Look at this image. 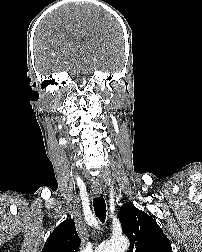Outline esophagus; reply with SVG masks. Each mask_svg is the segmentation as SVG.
I'll list each match as a JSON object with an SVG mask.
<instances>
[{
    "instance_id": "34e87169",
    "label": "esophagus",
    "mask_w": 202,
    "mask_h": 252,
    "mask_svg": "<svg viewBox=\"0 0 202 252\" xmlns=\"http://www.w3.org/2000/svg\"><path fill=\"white\" fill-rule=\"evenodd\" d=\"M93 194L96 197H99L102 194V188L101 187H94L93 188Z\"/></svg>"
}]
</instances>
